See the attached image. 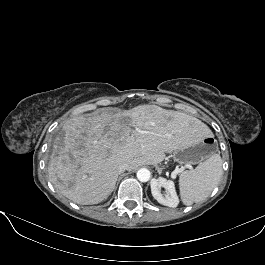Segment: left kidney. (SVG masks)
I'll list each match as a JSON object with an SVG mask.
<instances>
[{
  "instance_id": "left-kidney-1",
  "label": "left kidney",
  "mask_w": 265,
  "mask_h": 265,
  "mask_svg": "<svg viewBox=\"0 0 265 265\" xmlns=\"http://www.w3.org/2000/svg\"><path fill=\"white\" fill-rule=\"evenodd\" d=\"M166 190L165 196L161 194V188ZM151 193L153 197L162 205L175 208L179 204L174 182L163 177L155 178L151 181Z\"/></svg>"
}]
</instances>
